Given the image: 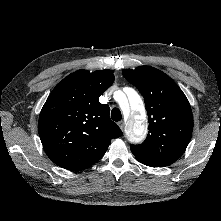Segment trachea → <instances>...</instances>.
Masks as SVG:
<instances>
[{
  "label": "trachea",
  "mask_w": 221,
  "mask_h": 221,
  "mask_svg": "<svg viewBox=\"0 0 221 221\" xmlns=\"http://www.w3.org/2000/svg\"><path fill=\"white\" fill-rule=\"evenodd\" d=\"M112 120L118 122L122 119L121 111L118 108H113L111 111Z\"/></svg>",
  "instance_id": "trachea-1"
}]
</instances>
